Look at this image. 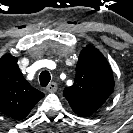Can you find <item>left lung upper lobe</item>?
Listing matches in <instances>:
<instances>
[{
	"label": "left lung upper lobe",
	"instance_id": "obj_1",
	"mask_svg": "<svg viewBox=\"0 0 133 133\" xmlns=\"http://www.w3.org/2000/svg\"><path fill=\"white\" fill-rule=\"evenodd\" d=\"M114 89L112 70L102 53L88 45L76 65L74 84L64 89V96L79 116H90L107 100Z\"/></svg>",
	"mask_w": 133,
	"mask_h": 133
}]
</instances>
